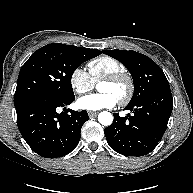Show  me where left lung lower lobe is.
<instances>
[{
  "instance_id": "0a47b994",
  "label": "left lung lower lobe",
  "mask_w": 193,
  "mask_h": 193,
  "mask_svg": "<svg viewBox=\"0 0 193 193\" xmlns=\"http://www.w3.org/2000/svg\"><path fill=\"white\" fill-rule=\"evenodd\" d=\"M125 109L134 115L120 117L114 113L113 123L104 130L109 146L125 156H143L152 152L167 128L173 109L169 84L135 104H128Z\"/></svg>"
}]
</instances>
